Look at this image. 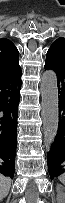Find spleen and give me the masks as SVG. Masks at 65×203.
I'll use <instances>...</instances> for the list:
<instances>
[{
  "instance_id": "obj_1",
  "label": "spleen",
  "mask_w": 65,
  "mask_h": 203,
  "mask_svg": "<svg viewBox=\"0 0 65 203\" xmlns=\"http://www.w3.org/2000/svg\"><path fill=\"white\" fill-rule=\"evenodd\" d=\"M58 179L60 180V182L65 183V174L60 175Z\"/></svg>"
}]
</instances>
